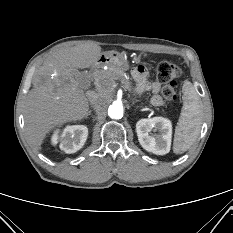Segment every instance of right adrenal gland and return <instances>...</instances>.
Masks as SVG:
<instances>
[{
	"instance_id": "2a0ac1e0",
	"label": "right adrenal gland",
	"mask_w": 233,
	"mask_h": 233,
	"mask_svg": "<svg viewBox=\"0 0 233 233\" xmlns=\"http://www.w3.org/2000/svg\"><path fill=\"white\" fill-rule=\"evenodd\" d=\"M91 113H92V111L89 110V111L87 112L86 118H88V116L91 115Z\"/></svg>"
}]
</instances>
